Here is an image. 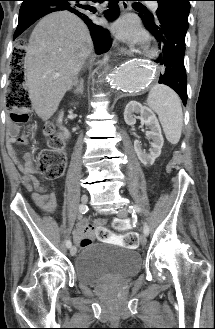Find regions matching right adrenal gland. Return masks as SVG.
Here are the masks:
<instances>
[{
    "label": "right adrenal gland",
    "mask_w": 215,
    "mask_h": 329,
    "mask_svg": "<svg viewBox=\"0 0 215 329\" xmlns=\"http://www.w3.org/2000/svg\"><path fill=\"white\" fill-rule=\"evenodd\" d=\"M84 86H83V79H80L79 85L74 89L75 94H83Z\"/></svg>",
    "instance_id": "obj_1"
}]
</instances>
